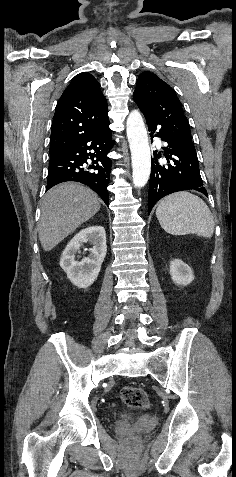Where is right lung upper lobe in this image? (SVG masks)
Listing matches in <instances>:
<instances>
[{
  "mask_svg": "<svg viewBox=\"0 0 236 477\" xmlns=\"http://www.w3.org/2000/svg\"><path fill=\"white\" fill-rule=\"evenodd\" d=\"M107 123V101L98 81L87 72L77 75L56 106L51 129V159L63 155Z\"/></svg>",
  "mask_w": 236,
  "mask_h": 477,
  "instance_id": "1",
  "label": "right lung upper lobe"
}]
</instances>
